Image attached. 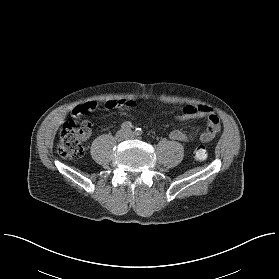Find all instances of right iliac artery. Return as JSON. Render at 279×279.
Returning <instances> with one entry per match:
<instances>
[{"label":"right iliac artery","mask_w":279,"mask_h":279,"mask_svg":"<svg viewBox=\"0 0 279 279\" xmlns=\"http://www.w3.org/2000/svg\"><path fill=\"white\" fill-rule=\"evenodd\" d=\"M131 127H132V123L129 121H126V122L122 123V125H121L122 130H124L126 132L130 131Z\"/></svg>","instance_id":"82829eb1"}]
</instances>
